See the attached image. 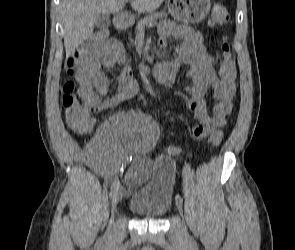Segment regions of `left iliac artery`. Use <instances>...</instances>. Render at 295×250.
Listing matches in <instances>:
<instances>
[{
  "label": "left iliac artery",
  "mask_w": 295,
  "mask_h": 250,
  "mask_svg": "<svg viewBox=\"0 0 295 250\" xmlns=\"http://www.w3.org/2000/svg\"><path fill=\"white\" fill-rule=\"evenodd\" d=\"M175 198H176V201L177 202H179L181 204L183 203V199H182V197L179 194H177Z\"/></svg>",
  "instance_id": "left-iliac-artery-1"
}]
</instances>
